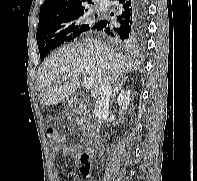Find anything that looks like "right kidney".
<instances>
[{"label": "right kidney", "instance_id": "obj_1", "mask_svg": "<svg viewBox=\"0 0 197 181\" xmlns=\"http://www.w3.org/2000/svg\"><path fill=\"white\" fill-rule=\"evenodd\" d=\"M130 94H131V90L126 89V90H122L120 95L118 96L117 102L122 110L128 109V105L130 104L131 101Z\"/></svg>", "mask_w": 197, "mask_h": 181}]
</instances>
